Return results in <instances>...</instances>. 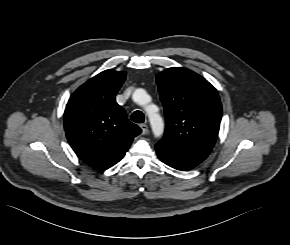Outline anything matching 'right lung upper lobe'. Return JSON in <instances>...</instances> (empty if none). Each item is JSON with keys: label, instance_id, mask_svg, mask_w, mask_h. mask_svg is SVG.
<instances>
[{"label": "right lung upper lobe", "instance_id": "right-lung-upper-lobe-1", "mask_svg": "<svg viewBox=\"0 0 290 245\" xmlns=\"http://www.w3.org/2000/svg\"><path fill=\"white\" fill-rule=\"evenodd\" d=\"M126 72L105 70L81 85L70 97L64 127L76 155L99 170L119 162L141 129L130 122L115 95Z\"/></svg>", "mask_w": 290, "mask_h": 245}]
</instances>
